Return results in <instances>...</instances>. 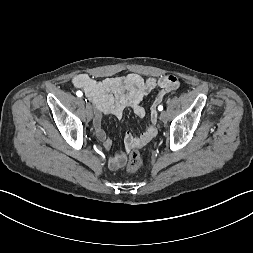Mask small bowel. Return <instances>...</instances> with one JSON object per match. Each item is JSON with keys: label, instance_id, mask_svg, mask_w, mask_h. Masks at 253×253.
<instances>
[{"label": "small bowel", "instance_id": "obj_1", "mask_svg": "<svg viewBox=\"0 0 253 253\" xmlns=\"http://www.w3.org/2000/svg\"><path fill=\"white\" fill-rule=\"evenodd\" d=\"M72 82L76 88L85 92L93 104L95 135L106 149L111 148L112 140L102 127L103 114H112L121 118L124 110L130 108L137 117L143 118L146 111L141 102L147 94L159 88L160 90L154 100V104H157L162 101L167 93L178 89L180 86L178 78L174 75L144 78L139 74H129L125 77H108L96 81L88 74L82 73L76 75ZM156 122L157 112L155 108H152L145 130L139 135L127 133L124 139V150L117 152L109 159V167L112 170H117L125 164L130 150L145 146L156 136Z\"/></svg>", "mask_w": 253, "mask_h": 253}]
</instances>
